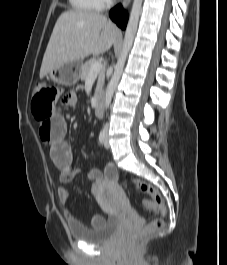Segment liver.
Segmentation results:
<instances>
[{
  "label": "liver",
  "mask_w": 227,
  "mask_h": 265,
  "mask_svg": "<svg viewBox=\"0 0 227 265\" xmlns=\"http://www.w3.org/2000/svg\"><path fill=\"white\" fill-rule=\"evenodd\" d=\"M120 37V30L99 13L90 11L62 13L48 42L41 64L40 78L71 61L108 51Z\"/></svg>",
  "instance_id": "obj_1"
}]
</instances>
